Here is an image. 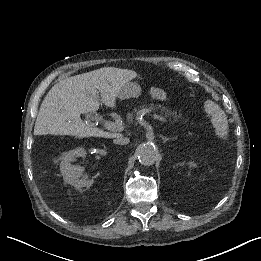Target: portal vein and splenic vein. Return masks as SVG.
Listing matches in <instances>:
<instances>
[{"label": "portal vein and splenic vein", "mask_w": 261, "mask_h": 261, "mask_svg": "<svg viewBox=\"0 0 261 261\" xmlns=\"http://www.w3.org/2000/svg\"><path fill=\"white\" fill-rule=\"evenodd\" d=\"M152 118L157 121L160 122L161 124H166L168 122V119L166 117H163L162 115H159L158 113H154L152 115ZM109 128H111L112 130H116L118 129V124L114 123V122H110L109 123Z\"/></svg>", "instance_id": "1"}]
</instances>
